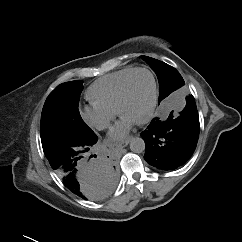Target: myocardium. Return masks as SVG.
I'll return each mask as SVG.
<instances>
[{
    "label": "myocardium",
    "instance_id": "f54148a6",
    "mask_svg": "<svg viewBox=\"0 0 242 242\" xmlns=\"http://www.w3.org/2000/svg\"><path fill=\"white\" fill-rule=\"evenodd\" d=\"M139 72H146L150 75L151 80H152V84H153V93H152V100H151V104L149 107V110L146 114V116L144 118H142L141 120H139L138 122H136V124L138 125H143L148 123L154 116L156 107H157V102H158V94H159V90H158V82L156 79V76L154 74V72L148 68L145 67H140V68H136L134 69L132 72H130L127 77L124 79L120 90H119V94H118V98H117V104H116V112L118 115L121 116V106L125 100L126 94H127V89H128V85L129 82L131 80V78Z\"/></svg>",
    "mask_w": 242,
    "mask_h": 242
}]
</instances>
